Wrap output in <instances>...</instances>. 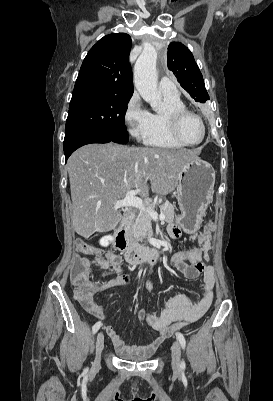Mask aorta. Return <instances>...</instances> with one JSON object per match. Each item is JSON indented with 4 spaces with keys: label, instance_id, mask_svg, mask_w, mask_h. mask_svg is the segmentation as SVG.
I'll use <instances>...</instances> for the list:
<instances>
[{
    "label": "aorta",
    "instance_id": "1",
    "mask_svg": "<svg viewBox=\"0 0 273 401\" xmlns=\"http://www.w3.org/2000/svg\"><path fill=\"white\" fill-rule=\"evenodd\" d=\"M157 52L152 46L144 48L134 66V83L141 97L157 111L161 96L157 89Z\"/></svg>",
    "mask_w": 273,
    "mask_h": 401
}]
</instances>
